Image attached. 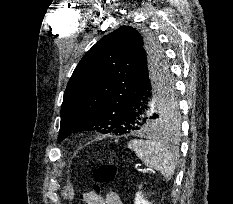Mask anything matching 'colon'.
Masks as SVG:
<instances>
[{
  "instance_id": "obj_1",
  "label": "colon",
  "mask_w": 233,
  "mask_h": 204,
  "mask_svg": "<svg viewBox=\"0 0 233 204\" xmlns=\"http://www.w3.org/2000/svg\"><path fill=\"white\" fill-rule=\"evenodd\" d=\"M117 173V167L114 164H102L98 166L93 172V179L95 181L94 190L99 191V185L111 182Z\"/></svg>"
}]
</instances>
